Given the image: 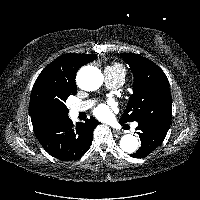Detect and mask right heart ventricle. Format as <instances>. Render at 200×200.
Masks as SVG:
<instances>
[{
    "instance_id": "e07e8e85",
    "label": "right heart ventricle",
    "mask_w": 200,
    "mask_h": 200,
    "mask_svg": "<svg viewBox=\"0 0 200 200\" xmlns=\"http://www.w3.org/2000/svg\"><path fill=\"white\" fill-rule=\"evenodd\" d=\"M106 71H109L113 74H116L118 76H121L123 79L125 78L126 76V69L125 67L119 63V62H114L112 63L111 65L107 66L105 68Z\"/></svg>"
}]
</instances>
